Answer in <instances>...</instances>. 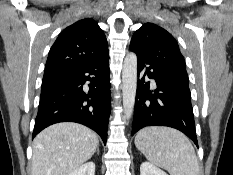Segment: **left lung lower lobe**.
Instances as JSON below:
<instances>
[{"label":"left lung lower lobe","instance_id":"1","mask_svg":"<svg viewBox=\"0 0 233 175\" xmlns=\"http://www.w3.org/2000/svg\"><path fill=\"white\" fill-rule=\"evenodd\" d=\"M130 50L137 55L139 75L132 135L147 126H169L183 132L198 146L188 77L153 65L131 46ZM143 70L144 75L140 76ZM145 76L155 79V90L150 89Z\"/></svg>","mask_w":233,"mask_h":175}]
</instances>
